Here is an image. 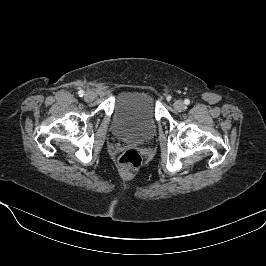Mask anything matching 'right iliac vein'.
<instances>
[{"label": "right iliac vein", "mask_w": 266, "mask_h": 266, "mask_svg": "<svg viewBox=\"0 0 266 266\" xmlns=\"http://www.w3.org/2000/svg\"><path fill=\"white\" fill-rule=\"evenodd\" d=\"M95 98V95L93 92H87L84 96V99L87 101V102H91L93 99Z\"/></svg>", "instance_id": "63e3f726"}]
</instances>
